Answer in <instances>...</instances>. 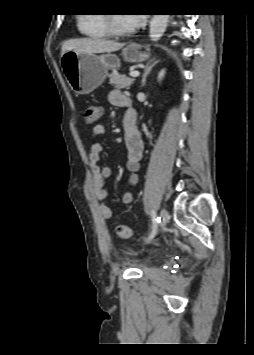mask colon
Listing matches in <instances>:
<instances>
[{
  "label": "colon",
  "mask_w": 254,
  "mask_h": 355,
  "mask_svg": "<svg viewBox=\"0 0 254 355\" xmlns=\"http://www.w3.org/2000/svg\"><path fill=\"white\" fill-rule=\"evenodd\" d=\"M101 115V109L99 106L90 105L85 111V122L88 126L93 127L97 124ZM116 233L122 239H128L132 236V230L128 225H117Z\"/></svg>",
  "instance_id": "colon-1"
}]
</instances>
